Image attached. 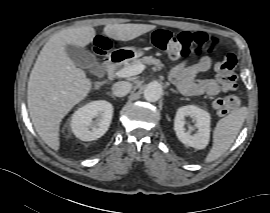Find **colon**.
I'll list each match as a JSON object with an SVG mask.
<instances>
[{
    "label": "colon",
    "instance_id": "colon-1",
    "mask_svg": "<svg viewBox=\"0 0 270 213\" xmlns=\"http://www.w3.org/2000/svg\"><path fill=\"white\" fill-rule=\"evenodd\" d=\"M96 37L99 40L98 51L102 54L108 49V41L100 34ZM150 43L172 57L188 58L199 57L202 54L216 55L220 40L204 32L173 33L160 29L152 34ZM235 67L236 58L232 54L225 55L221 61L215 64V71L219 74L226 89L231 91L214 101V106L219 114L233 111L240 103L241 90L235 84L237 79Z\"/></svg>",
    "mask_w": 270,
    "mask_h": 213
}]
</instances>
